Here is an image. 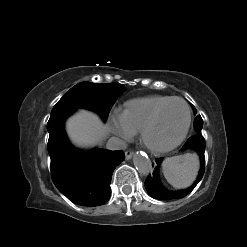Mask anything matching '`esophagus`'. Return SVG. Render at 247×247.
<instances>
[{
    "label": "esophagus",
    "mask_w": 247,
    "mask_h": 247,
    "mask_svg": "<svg viewBox=\"0 0 247 247\" xmlns=\"http://www.w3.org/2000/svg\"><path fill=\"white\" fill-rule=\"evenodd\" d=\"M133 155H134V152L132 150H127L125 152V157L127 160L131 159Z\"/></svg>",
    "instance_id": "esophagus-1"
}]
</instances>
